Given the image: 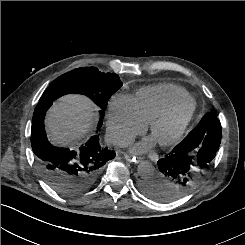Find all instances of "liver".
<instances>
[{"label": "liver", "instance_id": "1", "mask_svg": "<svg viewBox=\"0 0 245 245\" xmlns=\"http://www.w3.org/2000/svg\"><path fill=\"white\" fill-rule=\"evenodd\" d=\"M95 106L86 97L67 95L54 103L47 114L48 138L54 143L68 145L90 130L95 118Z\"/></svg>", "mask_w": 245, "mask_h": 245}]
</instances>
